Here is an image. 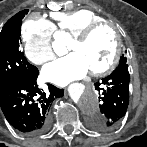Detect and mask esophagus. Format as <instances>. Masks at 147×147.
Masks as SVG:
<instances>
[{
	"mask_svg": "<svg viewBox=\"0 0 147 147\" xmlns=\"http://www.w3.org/2000/svg\"><path fill=\"white\" fill-rule=\"evenodd\" d=\"M91 85H92L91 83H88V84H87V86H91Z\"/></svg>",
	"mask_w": 147,
	"mask_h": 147,
	"instance_id": "34e87169",
	"label": "esophagus"
}]
</instances>
